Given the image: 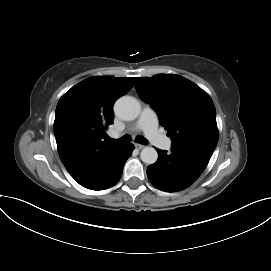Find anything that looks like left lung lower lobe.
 <instances>
[{
	"label": "left lung lower lobe",
	"mask_w": 271,
	"mask_h": 271,
	"mask_svg": "<svg viewBox=\"0 0 271 271\" xmlns=\"http://www.w3.org/2000/svg\"><path fill=\"white\" fill-rule=\"evenodd\" d=\"M158 160L148 166L149 181L166 192L181 191L189 187L204 171L209 158L184 151L156 149Z\"/></svg>",
	"instance_id": "left-lung-lower-lobe-1"
}]
</instances>
